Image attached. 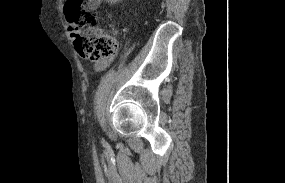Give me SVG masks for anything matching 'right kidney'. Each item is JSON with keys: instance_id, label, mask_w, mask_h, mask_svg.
<instances>
[{"instance_id": "ca27d5eb", "label": "right kidney", "mask_w": 285, "mask_h": 183, "mask_svg": "<svg viewBox=\"0 0 285 183\" xmlns=\"http://www.w3.org/2000/svg\"><path fill=\"white\" fill-rule=\"evenodd\" d=\"M107 1L110 2V3H116V2H118L120 0H107Z\"/></svg>"}]
</instances>
